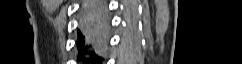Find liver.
Listing matches in <instances>:
<instances>
[{"label":"liver","instance_id":"1","mask_svg":"<svg viewBox=\"0 0 242 64\" xmlns=\"http://www.w3.org/2000/svg\"><path fill=\"white\" fill-rule=\"evenodd\" d=\"M88 3V2H86ZM82 30L88 35L90 38L96 41L98 39L105 38L107 28H102L100 24L96 21L86 22L85 19L81 21Z\"/></svg>","mask_w":242,"mask_h":64}]
</instances>
